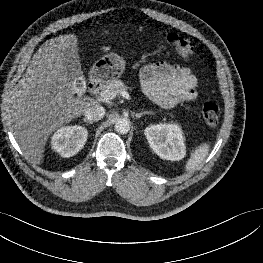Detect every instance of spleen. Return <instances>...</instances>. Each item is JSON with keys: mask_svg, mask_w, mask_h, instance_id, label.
I'll use <instances>...</instances> for the list:
<instances>
[{"mask_svg": "<svg viewBox=\"0 0 263 263\" xmlns=\"http://www.w3.org/2000/svg\"><path fill=\"white\" fill-rule=\"evenodd\" d=\"M209 152V145L204 143L198 146L194 152L191 153L190 158L186 162L185 170L191 171L195 169L206 158Z\"/></svg>", "mask_w": 263, "mask_h": 263, "instance_id": "1", "label": "spleen"}]
</instances>
